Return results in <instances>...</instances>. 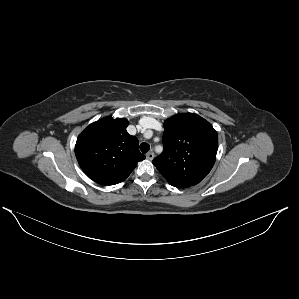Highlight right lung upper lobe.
Here are the masks:
<instances>
[{
    "label": "right lung upper lobe",
    "mask_w": 299,
    "mask_h": 299,
    "mask_svg": "<svg viewBox=\"0 0 299 299\" xmlns=\"http://www.w3.org/2000/svg\"><path fill=\"white\" fill-rule=\"evenodd\" d=\"M128 124L124 118L106 117L90 124L77 138L78 163L96 183L118 184L145 159L138 139L126 131Z\"/></svg>",
    "instance_id": "obj_1"
}]
</instances>
